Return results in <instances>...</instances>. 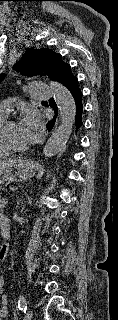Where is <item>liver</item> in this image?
<instances>
[{
    "instance_id": "obj_1",
    "label": "liver",
    "mask_w": 118,
    "mask_h": 320,
    "mask_svg": "<svg viewBox=\"0 0 118 320\" xmlns=\"http://www.w3.org/2000/svg\"><path fill=\"white\" fill-rule=\"evenodd\" d=\"M14 161H16V160H0V167L7 165V164H10V163H13Z\"/></svg>"
}]
</instances>
